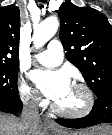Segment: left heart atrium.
<instances>
[{
	"instance_id": "39dd6f15",
	"label": "left heart atrium",
	"mask_w": 112,
	"mask_h": 135,
	"mask_svg": "<svg viewBox=\"0 0 112 135\" xmlns=\"http://www.w3.org/2000/svg\"><path fill=\"white\" fill-rule=\"evenodd\" d=\"M31 79L50 99L59 100L70 86L68 75L63 71H33Z\"/></svg>"
}]
</instances>
